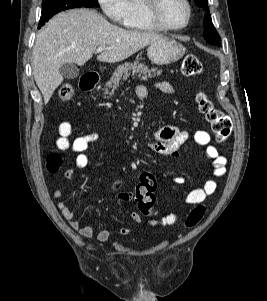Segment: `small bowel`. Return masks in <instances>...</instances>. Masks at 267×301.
<instances>
[{"mask_svg": "<svg viewBox=\"0 0 267 301\" xmlns=\"http://www.w3.org/2000/svg\"><path fill=\"white\" fill-rule=\"evenodd\" d=\"M157 88L166 94H174L175 89L168 82L157 83ZM136 93L140 98L147 95V89L143 85L136 87ZM73 133L72 125L69 122H61L58 126V137L56 139V146L60 150H69L75 154V166L79 169L85 168L88 164V157L85 151L89 145L98 140L96 133L86 134L70 140L69 137ZM189 133L181 130L173 125H167L156 129L151 137L147 140V147L153 152L170 157H178L180 147L188 140ZM194 142L205 147V157L212 162L213 173L215 176H223L226 173V157L222 156L216 146L211 143V135L205 130H199L193 135ZM66 179H72L74 170L69 168L63 173ZM174 181L178 184L184 183L182 177H175ZM217 190V183L215 180H207L203 187L195 188L189 192L186 197L188 204H199L203 202L206 197L212 195ZM63 193L57 189L53 192V198L56 201V206L62 216L67 220L70 227L79 232L85 238H91L94 235V230L91 226H82L75 218L74 213L62 201ZM119 202H130L134 200V194L131 191L124 190L115 197ZM131 218L134 221H140L139 214L133 212ZM177 221L176 214H170L159 220H154L153 225H172ZM129 229L123 227L119 230L120 235H127ZM112 234V229L105 228L97 233V240L106 242Z\"/></svg>", "mask_w": 267, "mask_h": 301, "instance_id": "small-bowel-1", "label": "small bowel"}]
</instances>
